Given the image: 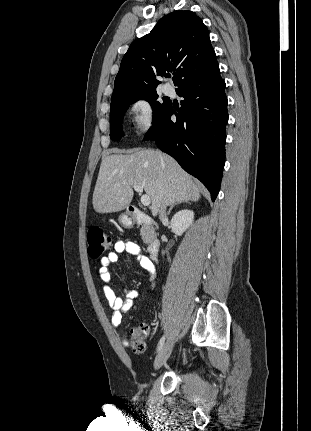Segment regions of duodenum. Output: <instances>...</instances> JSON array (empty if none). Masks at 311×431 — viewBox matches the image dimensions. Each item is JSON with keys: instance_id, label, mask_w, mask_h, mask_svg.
<instances>
[{"instance_id": "1", "label": "duodenum", "mask_w": 311, "mask_h": 431, "mask_svg": "<svg viewBox=\"0 0 311 431\" xmlns=\"http://www.w3.org/2000/svg\"><path fill=\"white\" fill-rule=\"evenodd\" d=\"M128 216L130 217V219L135 224L144 225V226H151L152 225L151 218L145 212H143L142 210H140L137 207L130 206L128 208ZM147 250H148L149 254L151 255V257L156 259L158 257V254H159L160 243L157 240L151 241L148 244Z\"/></svg>"}]
</instances>
